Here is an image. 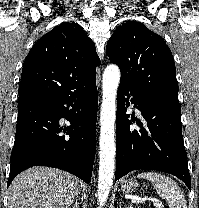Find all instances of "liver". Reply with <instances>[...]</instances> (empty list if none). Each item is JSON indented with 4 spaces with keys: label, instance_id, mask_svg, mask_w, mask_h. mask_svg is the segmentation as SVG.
Masks as SVG:
<instances>
[{
    "label": "liver",
    "instance_id": "1",
    "mask_svg": "<svg viewBox=\"0 0 199 208\" xmlns=\"http://www.w3.org/2000/svg\"><path fill=\"white\" fill-rule=\"evenodd\" d=\"M82 187V181L66 171L32 167L12 181L8 208H70Z\"/></svg>",
    "mask_w": 199,
    "mask_h": 208
}]
</instances>
